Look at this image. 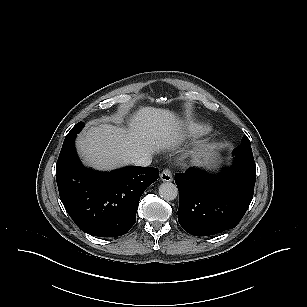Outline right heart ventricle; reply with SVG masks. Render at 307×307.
Segmentation results:
<instances>
[{"mask_svg":"<svg viewBox=\"0 0 307 307\" xmlns=\"http://www.w3.org/2000/svg\"><path fill=\"white\" fill-rule=\"evenodd\" d=\"M184 130L191 136L207 135L211 132V128L205 124L189 121L185 124Z\"/></svg>","mask_w":307,"mask_h":307,"instance_id":"1","label":"right heart ventricle"}]
</instances>
